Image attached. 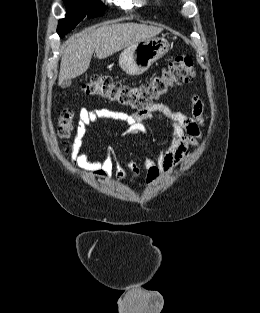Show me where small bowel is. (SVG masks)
Masks as SVG:
<instances>
[{"label":"small bowel","mask_w":260,"mask_h":313,"mask_svg":"<svg viewBox=\"0 0 260 313\" xmlns=\"http://www.w3.org/2000/svg\"><path fill=\"white\" fill-rule=\"evenodd\" d=\"M156 113L166 117L172 129V137L166 146L157 151L154 157L145 155L142 160L146 170V183L153 184L183 161L190 154L191 149L197 145L203 126V103L197 96L191 98L190 115L173 110L165 104H156L146 111H138L133 114L109 109L81 108L73 139L72 163L96 180H104L112 175H115L119 181L124 180L126 177L124 166L114 157L112 150L109 149L102 159L89 160L86 157L84 139L88 128L95 122L107 119L124 122L126 135L148 137L149 129L144 122L155 118ZM127 164L131 171V180L136 181L139 178L140 165L134 159H129Z\"/></svg>","instance_id":"obj_1"}]
</instances>
